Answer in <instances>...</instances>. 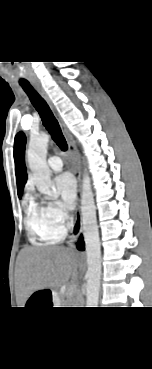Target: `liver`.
Returning <instances> with one entry per match:
<instances>
[{
	"mask_svg": "<svg viewBox=\"0 0 152 369\" xmlns=\"http://www.w3.org/2000/svg\"><path fill=\"white\" fill-rule=\"evenodd\" d=\"M19 260L18 282L26 296L37 290L59 287L76 277L77 258L63 247H26L20 252Z\"/></svg>",
	"mask_w": 152,
	"mask_h": 369,
	"instance_id": "6515ba94",
	"label": "liver"
}]
</instances>
